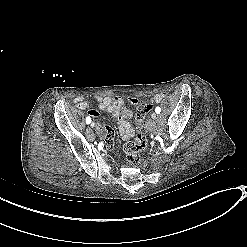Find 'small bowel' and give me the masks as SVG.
Returning <instances> with one entry per match:
<instances>
[{"mask_svg": "<svg viewBox=\"0 0 247 247\" xmlns=\"http://www.w3.org/2000/svg\"><path fill=\"white\" fill-rule=\"evenodd\" d=\"M164 97L165 94L158 93L151 98V101L155 103H159L160 101L163 100ZM94 99L98 102V108L101 111L109 112L112 114L113 118L115 119V121L119 126L120 135L123 140H128L131 137H133L134 129L128 122V119L132 116V111L126 106L124 100L120 96H115V97L96 96ZM74 102L79 110H86L90 107V102L84 97H76L74 99ZM128 102L135 105L137 104L138 100L135 97H129ZM89 111L88 114L91 117L101 118V115L97 114V112L90 113ZM104 125L108 126V123L104 122ZM109 128H112L113 131L111 130L106 131L104 126L99 125L97 126L96 131L98 136L100 137L106 136L105 147L106 149L111 150L114 147L113 141L114 138L116 137L117 131L115 127H112V125H109Z\"/></svg>", "mask_w": 247, "mask_h": 247, "instance_id": "1", "label": "small bowel"}]
</instances>
